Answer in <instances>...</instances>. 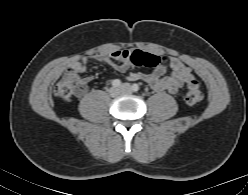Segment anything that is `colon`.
Wrapping results in <instances>:
<instances>
[{
	"label": "colon",
	"instance_id": "1",
	"mask_svg": "<svg viewBox=\"0 0 248 195\" xmlns=\"http://www.w3.org/2000/svg\"><path fill=\"white\" fill-rule=\"evenodd\" d=\"M129 61L135 67L154 68L164 60L155 54L136 50L129 55ZM53 92L55 96L68 102L74 96L82 95L85 92V85L76 74H68L55 84ZM202 97L200 84L196 80L188 83L185 93L186 103L191 106L197 105Z\"/></svg>",
	"mask_w": 248,
	"mask_h": 195
}]
</instances>
